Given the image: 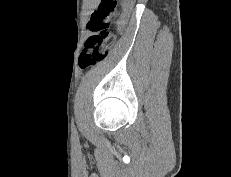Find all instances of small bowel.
I'll list each match as a JSON object with an SVG mask.
<instances>
[{
    "label": "small bowel",
    "instance_id": "small-bowel-1",
    "mask_svg": "<svg viewBox=\"0 0 231 177\" xmlns=\"http://www.w3.org/2000/svg\"><path fill=\"white\" fill-rule=\"evenodd\" d=\"M124 25H125V19L122 18V19H120L119 22H118V28H119V30H123Z\"/></svg>",
    "mask_w": 231,
    "mask_h": 177
}]
</instances>
